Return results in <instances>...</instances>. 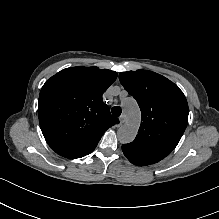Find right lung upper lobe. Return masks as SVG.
Segmentation results:
<instances>
[{"mask_svg":"<svg viewBox=\"0 0 219 219\" xmlns=\"http://www.w3.org/2000/svg\"><path fill=\"white\" fill-rule=\"evenodd\" d=\"M116 78L111 70L79 66L63 69L46 81L38 116L44 138L57 154L71 159L86 156L104 132L119 123L102 100Z\"/></svg>","mask_w":219,"mask_h":219,"instance_id":"1","label":"right lung upper lobe"}]
</instances>
